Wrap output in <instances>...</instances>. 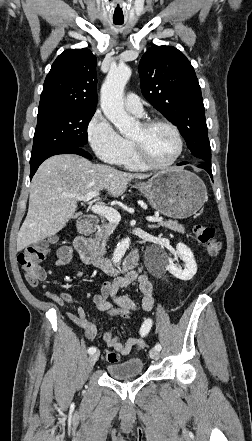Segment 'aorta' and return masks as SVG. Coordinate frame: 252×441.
Returning <instances> with one entry per match:
<instances>
[{"label": "aorta", "mask_w": 252, "mask_h": 441, "mask_svg": "<svg viewBox=\"0 0 252 441\" xmlns=\"http://www.w3.org/2000/svg\"><path fill=\"white\" fill-rule=\"evenodd\" d=\"M131 73L127 65L111 68L101 87V108L108 120L124 136H129L136 125L135 119L126 113L123 101L124 87ZM129 245V238H124L117 244L112 257L115 265L120 264Z\"/></svg>", "instance_id": "762f6f07"}]
</instances>
